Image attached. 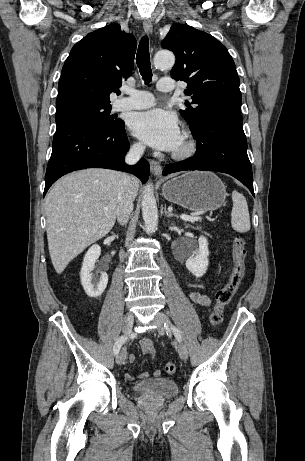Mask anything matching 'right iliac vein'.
<instances>
[{
	"instance_id": "1",
	"label": "right iliac vein",
	"mask_w": 305,
	"mask_h": 461,
	"mask_svg": "<svg viewBox=\"0 0 305 461\" xmlns=\"http://www.w3.org/2000/svg\"><path fill=\"white\" fill-rule=\"evenodd\" d=\"M134 324V316L132 313H127L124 317L123 324H122V331L125 335H129L132 331V327ZM127 353L125 349H122L116 356V362L118 364H123L126 360Z\"/></svg>"
}]
</instances>
